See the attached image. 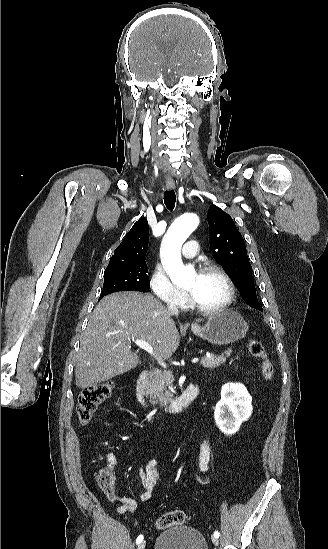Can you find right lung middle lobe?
<instances>
[{
    "label": "right lung middle lobe",
    "mask_w": 328,
    "mask_h": 549,
    "mask_svg": "<svg viewBox=\"0 0 328 549\" xmlns=\"http://www.w3.org/2000/svg\"><path fill=\"white\" fill-rule=\"evenodd\" d=\"M147 272L145 261L105 271L99 300L105 295L117 291H147L150 287Z\"/></svg>",
    "instance_id": "obj_1"
}]
</instances>
